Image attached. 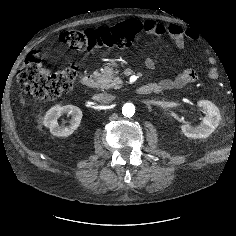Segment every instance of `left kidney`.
Returning <instances> with one entry per match:
<instances>
[{
	"instance_id": "obj_1",
	"label": "left kidney",
	"mask_w": 236,
	"mask_h": 236,
	"mask_svg": "<svg viewBox=\"0 0 236 236\" xmlns=\"http://www.w3.org/2000/svg\"><path fill=\"white\" fill-rule=\"evenodd\" d=\"M197 106L206 111V116L199 125L184 124L181 130L186 137L203 139L211 135L219 126L221 115L219 108L209 100H199Z\"/></svg>"
}]
</instances>
